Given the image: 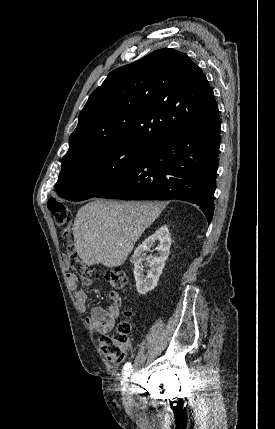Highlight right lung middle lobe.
<instances>
[{
    "label": "right lung middle lobe",
    "mask_w": 275,
    "mask_h": 429,
    "mask_svg": "<svg viewBox=\"0 0 275 429\" xmlns=\"http://www.w3.org/2000/svg\"><path fill=\"white\" fill-rule=\"evenodd\" d=\"M148 149L146 145L116 144L83 155L62 165L55 187L70 201L92 198L137 168Z\"/></svg>",
    "instance_id": "obj_1"
}]
</instances>
